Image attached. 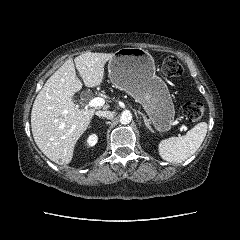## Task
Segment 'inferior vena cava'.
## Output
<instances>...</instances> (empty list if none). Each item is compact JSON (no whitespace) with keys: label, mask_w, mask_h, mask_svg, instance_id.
<instances>
[{"label":"inferior vena cava","mask_w":240,"mask_h":240,"mask_svg":"<svg viewBox=\"0 0 240 240\" xmlns=\"http://www.w3.org/2000/svg\"><path fill=\"white\" fill-rule=\"evenodd\" d=\"M96 115L99 117H105L107 119H112L115 116V113L112 111H97Z\"/></svg>","instance_id":"602c4592"}]
</instances>
